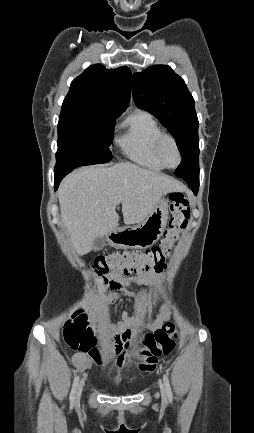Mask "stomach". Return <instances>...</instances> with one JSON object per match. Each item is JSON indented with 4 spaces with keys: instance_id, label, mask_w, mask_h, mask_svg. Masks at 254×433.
<instances>
[{
    "instance_id": "stomach-1",
    "label": "stomach",
    "mask_w": 254,
    "mask_h": 433,
    "mask_svg": "<svg viewBox=\"0 0 254 433\" xmlns=\"http://www.w3.org/2000/svg\"><path fill=\"white\" fill-rule=\"evenodd\" d=\"M168 214V201L161 199L141 223L135 226L116 228L108 233L107 241L116 248H148L162 236Z\"/></svg>"
}]
</instances>
